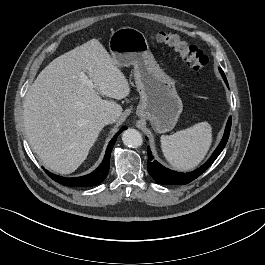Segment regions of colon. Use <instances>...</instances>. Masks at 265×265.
I'll return each mask as SVG.
<instances>
[{
  "label": "colon",
  "instance_id": "1",
  "mask_svg": "<svg viewBox=\"0 0 265 265\" xmlns=\"http://www.w3.org/2000/svg\"><path fill=\"white\" fill-rule=\"evenodd\" d=\"M154 39L177 52L197 77L201 78L208 74V58L196 47L181 40L177 34L161 31L154 35Z\"/></svg>",
  "mask_w": 265,
  "mask_h": 265
}]
</instances>
